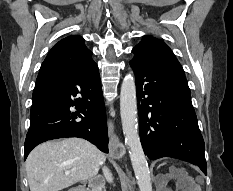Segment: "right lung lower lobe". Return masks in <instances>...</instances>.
I'll use <instances>...</instances> for the list:
<instances>
[{
	"instance_id": "right-lung-lower-lobe-1",
	"label": "right lung lower lobe",
	"mask_w": 233,
	"mask_h": 191,
	"mask_svg": "<svg viewBox=\"0 0 233 191\" xmlns=\"http://www.w3.org/2000/svg\"><path fill=\"white\" fill-rule=\"evenodd\" d=\"M32 103L24 160L38 144L63 137L84 138L108 153L106 111L95 62L79 72L39 74ZM73 106L75 111L70 110Z\"/></svg>"
}]
</instances>
